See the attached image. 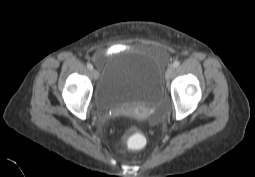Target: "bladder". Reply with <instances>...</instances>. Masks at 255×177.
Returning <instances> with one entry per match:
<instances>
[{
  "instance_id": "1",
  "label": "bladder",
  "mask_w": 255,
  "mask_h": 177,
  "mask_svg": "<svg viewBox=\"0 0 255 177\" xmlns=\"http://www.w3.org/2000/svg\"><path fill=\"white\" fill-rule=\"evenodd\" d=\"M164 99L162 66L151 54L122 53L106 69L94 96L97 111L155 108Z\"/></svg>"
}]
</instances>
